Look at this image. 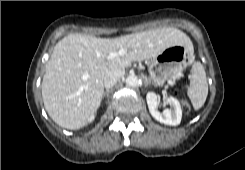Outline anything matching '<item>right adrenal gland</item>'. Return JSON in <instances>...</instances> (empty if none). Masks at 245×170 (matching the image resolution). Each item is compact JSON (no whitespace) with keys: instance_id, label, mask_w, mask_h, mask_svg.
Listing matches in <instances>:
<instances>
[{"instance_id":"2a0ac1e0","label":"right adrenal gland","mask_w":245,"mask_h":170,"mask_svg":"<svg viewBox=\"0 0 245 170\" xmlns=\"http://www.w3.org/2000/svg\"><path fill=\"white\" fill-rule=\"evenodd\" d=\"M111 91H112V88L106 89V91H105L104 94H103V97L109 98V94L111 93Z\"/></svg>"}]
</instances>
